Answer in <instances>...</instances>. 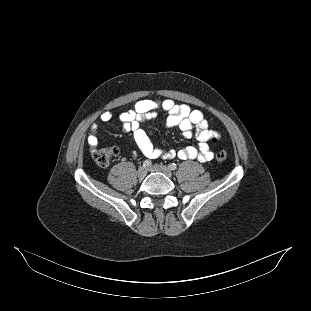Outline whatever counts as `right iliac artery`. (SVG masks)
Listing matches in <instances>:
<instances>
[{
	"mask_svg": "<svg viewBox=\"0 0 311 311\" xmlns=\"http://www.w3.org/2000/svg\"><path fill=\"white\" fill-rule=\"evenodd\" d=\"M151 161L150 160H145L144 162H143V167H149V166H151Z\"/></svg>",
	"mask_w": 311,
	"mask_h": 311,
	"instance_id": "right-iliac-artery-1",
	"label": "right iliac artery"
}]
</instances>
